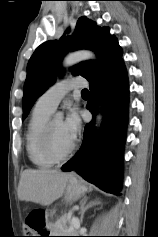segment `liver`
<instances>
[{
    "mask_svg": "<svg viewBox=\"0 0 158 237\" xmlns=\"http://www.w3.org/2000/svg\"><path fill=\"white\" fill-rule=\"evenodd\" d=\"M72 174L58 170L26 169L21 173L18 186V197L48 206L60 198L66 189Z\"/></svg>",
    "mask_w": 158,
    "mask_h": 237,
    "instance_id": "1",
    "label": "liver"
}]
</instances>
